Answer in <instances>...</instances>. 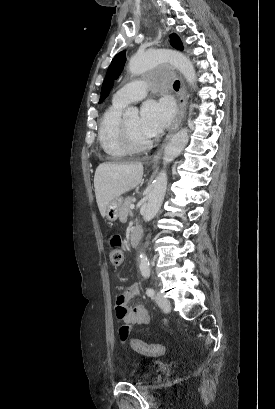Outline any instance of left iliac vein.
<instances>
[{"mask_svg":"<svg viewBox=\"0 0 275 409\" xmlns=\"http://www.w3.org/2000/svg\"><path fill=\"white\" fill-rule=\"evenodd\" d=\"M154 301L164 311H166V312L170 311L171 306H170L169 300L166 297L162 296L160 293H157L154 296Z\"/></svg>","mask_w":275,"mask_h":409,"instance_id":"left-iliac-vein-1","label":"left iliac vein"}]
</instances>
